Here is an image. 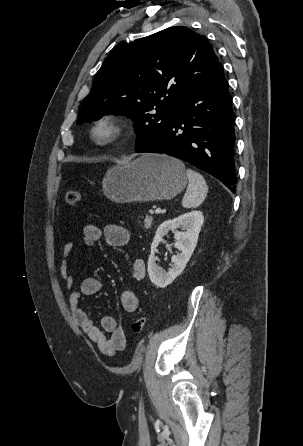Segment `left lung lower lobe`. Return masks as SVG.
Returning a JSON list of instances; mask_svg holds the SVG:
<instances>
[{
    "label": "left lung lower lobe",
    "mask_w": 303,
    "mask_h": 446,
    "mask_svg": "<svg viewBox=\"0 0 303 446\" xmlns=\"http://www.w3.org/2000/svg\"><path fill=\"white\" fill-rule=\"evenodd\" d=\"M231 99L220 62L177 104L161 134L136 150L163 153L211 174L235 192Z\"/></svg>",
    "instance_id": "left-lung-lower-lobe-1"
}]
</instances>
